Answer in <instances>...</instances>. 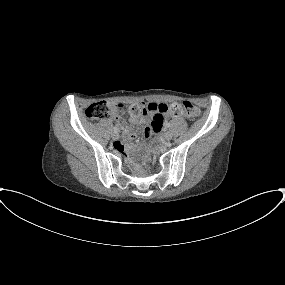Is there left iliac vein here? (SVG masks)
I'll list each match as a JSON object with an SVG mask.
<instances>
[{
	"label": "left iliac vein",
	"instance_id": "obj_1",
	"mask_svg": "<svg viewBox=\"0 0 285 285\" xmlns=\"http://www.w3.org/2000/svg\"><path fill=\"white\" fill-rule=\"evenodd\" d=\"M164 139L166 141H170L172 139V133L170 131H167L165 134H164Z\"/></svg>",
	"mask_w": 285,
	"mask_h": 285
}]
</instances>
